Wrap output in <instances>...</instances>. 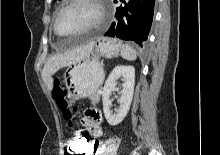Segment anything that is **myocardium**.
I'll use <instances>...</instances> for the list:
<instances>
[{
    "label": "myocardium",
    "mask_w": 220,
    "mask_h": 155,
    "mask_svg": "<svg viewBox=\"0 0 220 155\" xmlns=\"http://www.w3.org/2000/svg\"><path fill=\"white\" fill-rule=\"evenodd\" d=\"M83 2H87V3H90L92 4L96 11H97V17L95 18L94 21H92L89 25H87L86 27H84L83 29L79 30L78 32L76 33H73V34H70L68 36H76V35H81V34H85L97 27H99L105 20V17H106V8H105V5H104V2L103 0H68L67 3H65L63 6H61L58 11L56 12L55 16H54V19H53V23H52V30L53 32L59 36V37H67V36H63L61 35L58 31H57V28H56V24H57V20H58V17L59 15L67 10L68 8L74 6L75 4H78V3H83Z\"/></svg>",
    "instance_id": "obj_1"
}]
</instances>
